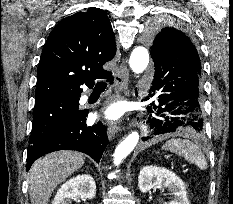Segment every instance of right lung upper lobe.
I'll return each mask as SVG.
<instances>
[{"label": "right lung upper lobe", "instance_id": "right-lung-upper-lobe-1", "mask_svg": "<svg viewBox=\"0 0 233 204\" xmlns=\"http://www.w3.org/2000/svg\"><path fill=\"white\" fill-rule=\"evenodd\" d=\"M115 35L106 13L88 8L61 20L50 33L37 70L35 103L54 96H79L85 83L111 73L102 68L116 54Z\"/></svg>", "mask_w": 233, "mask_h": 204}]
</instances>
